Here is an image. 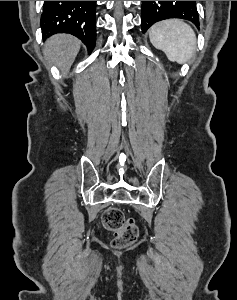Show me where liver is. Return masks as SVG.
Masks as SVG:
<instances>
[{"label":"liver","instance_id":"6515ba94","mask_svg":"<svg viewBox=\"0 0 237 300\" xmlns=\"http://www.w3.org/2000/svg\"><path fill=\"white\" fill-rule=\"evenodd\" d=\"M80 41L72 35H53L44 45L43 55L51 65H57L63 75L70 71L76 55L79 53Z\"/></svg>","mask_w":237,"mask_h":300}]
</instances>
